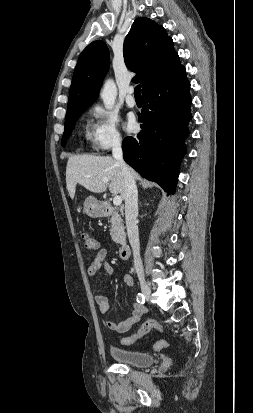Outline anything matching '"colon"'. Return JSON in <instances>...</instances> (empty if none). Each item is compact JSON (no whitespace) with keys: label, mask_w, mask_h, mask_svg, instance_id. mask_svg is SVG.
<instances>
[{"label":"colon","mask_w":253,"mask_h":413,"mask_svg":"<svg viewBox=\"0 0 253 413\" xmlns=\"http://www.w3.org/2000/svg\"><path fill=\"white\" fill-rule=\"evenodd\" d=\"M81 237H82V242L85 248L91 249V250H95L98 248L97 241L90 234L84 232L82 233ZM153 329L162 331L163 326L158 321L149 319L141 325V327L135 334L123 338L122 343L125 345L133 344L134 342L144 337L146 334H148ZM166 346H167V342L164 340H160L155 343L154 349L158 350Z\"/></svg>","instance_id":"5ec220e1"}]
</instances>
